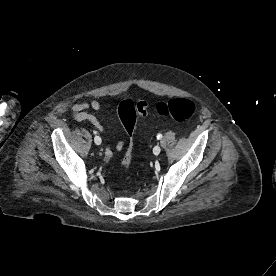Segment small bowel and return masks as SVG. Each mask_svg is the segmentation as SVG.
I'll use <instances>...</instances> for the list:
<instances>
[{
    "instance_id": "c3829d8e",
    "label": "small bowel",
    "mask_w": 276,
    "mask_h": 276,
    "mask_svg": "<svg viewBox=\"0 0 276 276\" xmlns=\"http://www.w3.org/2000/svg\"><path fill=\"white\" fill-rule=\"evenodd\" d=\"M104 107V104L98 100L93 99L90 102L76 103L72 106L73 119L78 122H89L97 131L103 132L104 127L96 116L89 113V110H100ZM124 147V142H119L116 146L117 150H121ZM106 158L113 156V151L109 148H105Z\"/></svg>"
}]
</instances>
